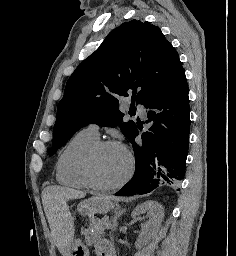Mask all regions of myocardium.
Listing matches in <instances>:
<instances>
[{"label":"myocardium","instance_id":"myocardium-1","mask_svg":"<svg viewBox=\"0 0 236 256\" xmlns=\"http://www.w3.org/2000/svg\"><path fill=\"white\" fill-rule=\"evenodd\" d=\"M118 146L123 149L127 157V170L124 176L115 184L104 186L97 182L94 174V163L96 157L106 148ZM134 171V159L130 151L115 141H101L98 142L94 148L89 152L84 163V177L88 186L101 193H109L116 191L123 187L132 177Z\"/></svg>","mask_w":236,"mask_h":256}]
</instances>
